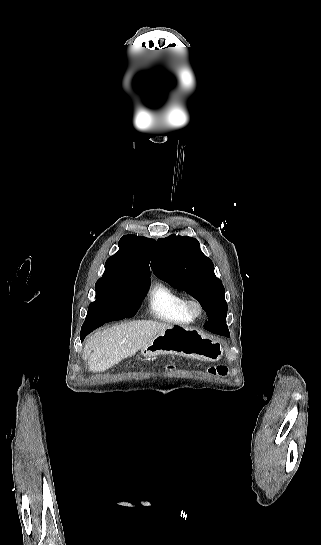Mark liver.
<instances>
[{
  "instance_id": "1",
  "label": "liver",
  "mask_w": 321,
  "mask_h": 545,
  "mask_svg": "<svg viewBox=\"0 0 321 545\" xmlns=\"http://www.w3.org/2000/svg\"><path fill=\"white\" fill-rule=\"evenodd\" d=\"M165 329H171V325L157 321H130L98 331L86 341L82 359L88 361L89 371L102 373L135 355Z\"/></svg>"
}]
</instances>
